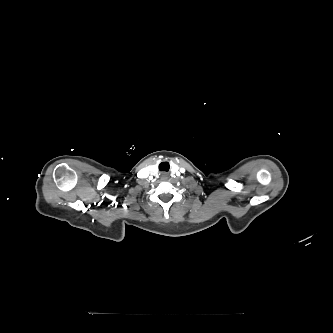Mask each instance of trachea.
Returning a JSON list of instances; mask_svg holds the SVG:
<instances>
[{"label": "trachea", "mask_w": 333, "mask_h": 333, "mask_svg": "<svg viewBox=\"0 0 333 333\" xmlns=\"http://www.w3.org/2000/svg\"><path fill=\"white\" fill-rule=\"evenodd\" d=\"M169 164L167 163V162H162L160 165H159V169L161 168L162 169V167L163 166H168Z\"/></svg>", "instance_id": "1"}]
</instances>
